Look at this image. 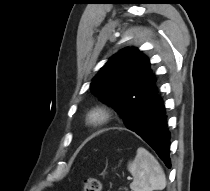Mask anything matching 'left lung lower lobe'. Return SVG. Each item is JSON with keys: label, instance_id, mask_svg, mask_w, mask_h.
I'll list each match as a JSON object with an SVG mask.
<instances>
[{"label": "left lung lower lobe", "instance_id": "0a47b994", "mask_svg": "<svg viewBox=\"0 0 210 191\" xmlns=\"http://www.w3.org/2000/svg\"><path fill=\"white\" fill-rule=\"evenodd\" d=\"M135 113L128 116V129L137 133L158 154L165 165L170 168V132L167 127V116L164 102L158 87H152L150 93L134 106ZM131 121V124H129Z\"/></svg>", "mask_w": 210, "mask_h": 191}]
</instances>
